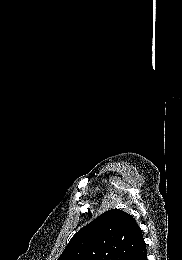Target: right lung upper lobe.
Here are the masks:
<instances>
[{
  "label": "right lung upper lobe",
  "mask_w": 182,
  "mask_h": 260,
  "mask_svg": "<svg viewBox=\"0 0 182 260\" xmlns=\"http://www.w3.org/2000/svg\"><path fill=\"white\" fill-rule=\"evenodd\" d=\"M145 242L132 215L112 209L80 229L58 260H129Z\"/></svg>",
  "instance_id": "right-lung-upper-lobe-1"
}]
</instances>
